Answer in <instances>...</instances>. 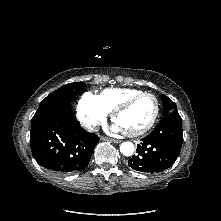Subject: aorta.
<instances>
[{"instance_id":"762f6f07","label":"aorta","mask_w":221,"mask_h":221,"mask_svg":"<svg viewBox=\"0 0 221 221\" xmlns=\"http://www.w3.org/2000/svg\"><path fill=\"white\" fill-rule=\"evenodd\" d=\"M120 152L124 155V156H131L134 153V145L131 142H123L120 145Z\"/></svg>"}]
</instances>
